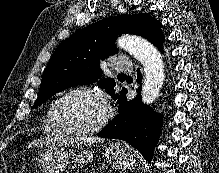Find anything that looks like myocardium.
<instances>
[{
    "label": "myocardium",
    "mask_w": 219,
    "mask_h": 173,
    "mask_svg": "<svg viewBox=\"0 0 219 173\" xmlns=\"http://www.w3.org/2000/svg\"><path fill=\"white\" fill-rule=\"evenodd\" d=\"M78 93L93 94L97 96L103 102L105 106L106 111H105L103 118L96 125L88 129H83V130L71 129L68 126H66L61 116V109H62L63 103L66 101L67 98H69L70 96L74 94H78ZM112 117H113V109L111 105L109 104L105 94L103 93L101 89L95 86L84 85V86H78V87L72 88L68 90L67 92H65L63 95H61L57 99L55 106H54V120L57 126L64 134L68 136H72V137H86V136L96 134L100 132L101 130H103L109 124Z\"/></svg>",
    "instance_id": "f54148a6"
}]
</instances>
